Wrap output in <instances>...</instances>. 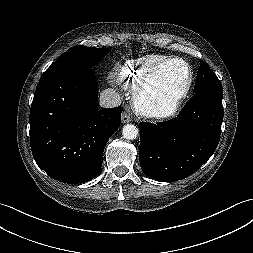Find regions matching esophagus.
Instances as JSON below:
<instances>
[{
	"label": "esophagus",
	"mask_w": 253,
	"mask_h": 253,
	"mask_svg": "<svg viewBox=\"0 0 253 253\" xmlns=\"http://www.w3.org/2000/svg\"><path fill=\"white\" fill-rule=\"evenodd\" d=\"M122 123H129L132 121L130 114L127 111H124L121 116Z\"/></svg>",
	"instance_id": "obj_1"
}]
</instances>
